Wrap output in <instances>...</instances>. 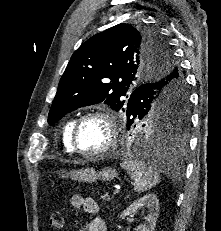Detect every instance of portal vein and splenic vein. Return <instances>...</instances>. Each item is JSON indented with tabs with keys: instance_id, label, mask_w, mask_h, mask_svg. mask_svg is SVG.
Segmentation results:
<instances>
[{
	"instance_id": "1",
	"label": "portal vein and splenic vein",
	"mask_w": 221,
	"mask_h": 231,
	"mask_svg": "<svg viewBox=\"0 0 221 231\" xmlns=\"http://www.w3.org/2000/svg\"><path fill=\"white\" fill-rule=\"evenodd\" d=\"M119 193L118 189H115L114 194L117 195Z\"/></svg>"
}]
</instances>
